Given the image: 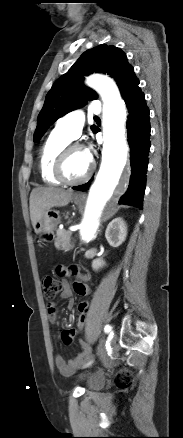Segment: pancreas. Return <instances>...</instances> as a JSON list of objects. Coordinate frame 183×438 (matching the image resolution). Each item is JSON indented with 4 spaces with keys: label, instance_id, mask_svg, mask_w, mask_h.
I'll return each mask as SVG.
<instances>
[{
    "label": "pancreas",
    "instance_id": "1",
    "mask_svg": "<svg viewBox=\"0 0 183 438\" xmlns=\"http://www.w3.org/2000/svg\"><path fill=\"white\" fill-rule=\"evenodd\" d=\"M56 235L55 247L57 250L69 251L73 248V245L71 244L72 233L70 231L58 229Z\"/></svg>",
    "mask_w": 183,
    "mask_h": 438
}]
</instances>
